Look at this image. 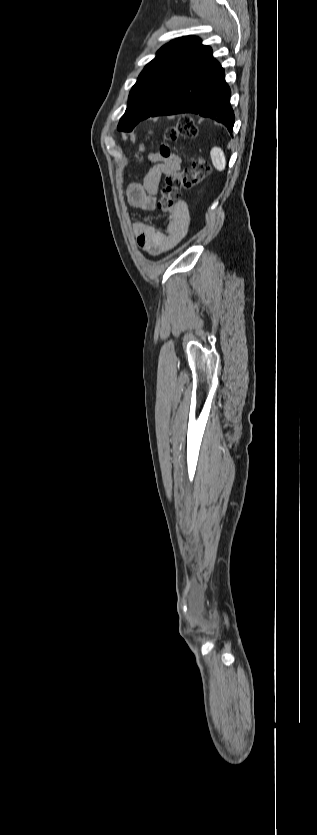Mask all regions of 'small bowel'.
Listing matches in <instances>:
<instances>
[{"label": "small bowel", "mask_w": 317, "mask_h": 835, "mask_svg": "<svg viewBox=\"0 0 317 835\" xmlns=\"http://www.w3.org/2000/svg\"><path fill=\"white\" fill-rule=\"evenodd\" d=\"M151 168L143 183L130 182L125 189V196L136 209L151 212L156 209L157 194L162 178L171 173H178L181 158L173 155L167 158L157 153L149 155ZM138 246L150 255H158L176 246L187 233L188 213L186 206L180 204L174 210L170 221L163 227H152L143 222L132 224Z\"/></svg>", "instance_id": "c3829d8e"}]
</instances>
